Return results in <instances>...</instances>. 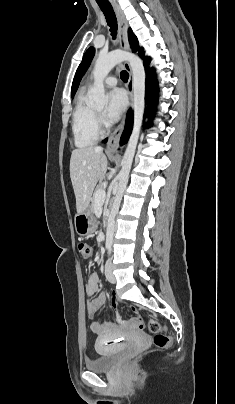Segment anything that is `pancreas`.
<instances>
[{"instance_id": "cf45deb5", "label": "pancreas", "mask_w": 235, "mask_h": 404, "mask_svg": "<svg viewBox=\"0 0 235 404\" xmlns=\"http://www.w3.org/2000/svg\"><path fill=\"white\" fill-rule=\"evenodd\" d=\"M99 190H105L104 184H99V185L97 186L96 190H95V193L93 194L92 205H91L92 212L95 211V207H96L95 194H96V192L99 191Z\"/></svg>"}]
</instances>
